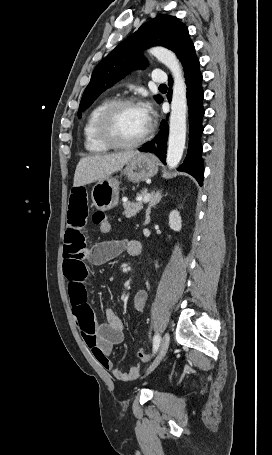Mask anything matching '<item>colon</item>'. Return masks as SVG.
<instances>
[{"mask_svg": "<svg viewBox=\"0 0 272 455\" xmlns=\"http://www.w3.org/2000/svg\"><path fill=\"white\" fill-rule=\"evenodd\" d=\"M92 220L96 225H98L99 230L102 234L106 235L110 232L111 223L106 213L101 211L95 212L93 214ZM136 355L142 361H148L150 358L149 354L144 349L137 350Z\"/></svg>", "mask_w": 272, "mask_h": 455, "instance_id": "colon-1", "label": "colon"}]
</instances>
